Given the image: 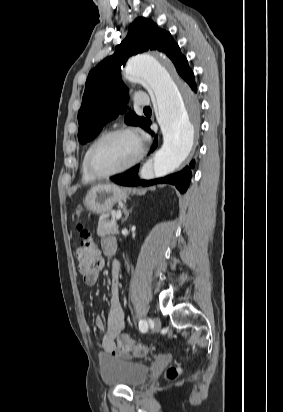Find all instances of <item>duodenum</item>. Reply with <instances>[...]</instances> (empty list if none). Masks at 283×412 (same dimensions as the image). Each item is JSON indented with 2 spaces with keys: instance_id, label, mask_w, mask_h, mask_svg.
Returning a JSON list of instances; mask_svg holds the SVG:
<instances>
[{
  "instance_id": "410a0bca",
  "label": "duodenum",
  "mask_w": 283,
  "mask_h": 412,
  "mask_svg": "<svg viewBox=\"0 0 283 412\" xmlns=\"http://www.w3.org/2000/svg\"><path fill=\"white\" fill-rule=\"evenodd\" d=\"M117 248H118V245H117V244H113V245L110 247V252H111V253H115V252L117 251Z\"/></svg>"
}]
</instances>
